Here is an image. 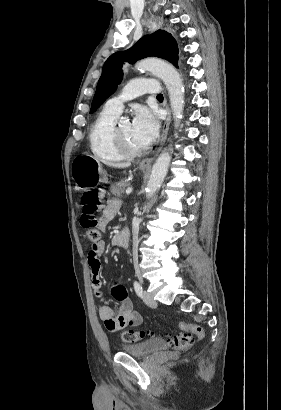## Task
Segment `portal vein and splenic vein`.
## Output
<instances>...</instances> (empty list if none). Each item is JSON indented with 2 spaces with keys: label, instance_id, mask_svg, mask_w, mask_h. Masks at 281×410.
Listing matches in <instances>:
<instances>
[{
  "label": "portal vein and splenic vein",
  "instance_id": "1",
  "mask_svg": "<svg viewBox=\"0 0 281 410\" xmlns=\"http://www.w3.org/2000/svg\"><path fill=\"white\" fill-rule=\"evenodd\" d=\"M132 191H133V188H132V187H128V188L126 189L125 193H126L127 195H129L130 193H132Z\"/></svg>",
  "mask_w": 281,
  "mask_h": 410
}]
</instances>
